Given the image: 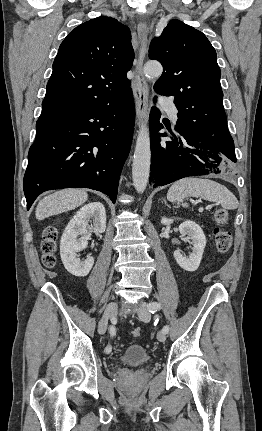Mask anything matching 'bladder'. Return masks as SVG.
<instances>
[{
    "label": "bladder",
    "instance_id": "bladder-1",
    "mask_svg": "<svg viewBox=\"0 0 262 431\" xmlns=\"http://www.w3.org/2000/svg\"><path fill=\"white\" fill-rule=\"evenodd\" d=\"M120 359L125 365L137 366L145 363L149 359V355L144 347L131 343L124 348Z\"/></svg>",
    "mask_w": 262,
    "mask_h": 431
}]
</instances>
